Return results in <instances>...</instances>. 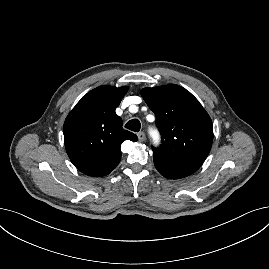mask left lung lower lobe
<instances>
[{
  "instance_id": "0a47b994",
  "label": "left lung lower lobe",
  "mask_w": 269,
  "mask_h": 269,
  "mask_svg": "<svg viewBox=\"0 0 269 269\" xmlns=\"http://www.w3.org/2000/svg\"><path fill=\"white\" fill-rule=\"evenodd\" d=\"M154 164L159 173L164 177L178 179L193 174L200 168L202 162L165 159L154 155Z\"/></svg>"
}]
</instances>
